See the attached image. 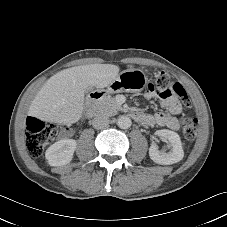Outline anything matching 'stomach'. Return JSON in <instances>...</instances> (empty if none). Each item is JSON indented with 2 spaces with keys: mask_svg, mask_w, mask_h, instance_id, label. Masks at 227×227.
I'll return each instance as SVG.
<instances>
[{
  "mask_svg": "<svg viewBox=\"0 0 227 227\" xmlns=\"http://www.w3.org/2000/svg\"><path fill=\"white\" fill-rule=\"evenodd\" d=\"M146 75L139 69L122 71L107 87V93L141 92L147 85Z\"/></svg>",
  "mask_w": 227,
  "mask_h": 227,
  "instance_id": "0dacf381",
  "label": "stomach"
}]
</instances>
